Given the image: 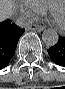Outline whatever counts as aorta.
I'll return each instance as SVG.
<instances>
[{
	"mask_svg": "<svg viewBox=\"0 0 65 89\" xmlns=\"http://www.w3.org/2000/svg\"><path fill=\"white\" fill-rule=\"evenodd\" d=\"M58 39H59L58 33L54 29L48 28L45 29L42 33V40L48 47L56 45Z\"/></svg>",
	"mask_w": 65,
	"mask_h": 89,
	"instance_id": "aorta-1",
	"label": "aorta"
}]
</instances>
